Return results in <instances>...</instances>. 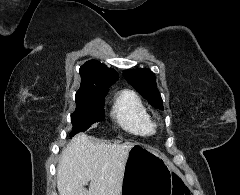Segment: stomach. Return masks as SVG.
Wrapping results in <instances>:
<instances>
[{
    "mask_svg": "<svg viewBox=\"0 0 240 195\" xmlns=\"http://www.w3.org/2000/svg\"><path fill=\"white\" fill-rule=\"evenodd\" d=\"M169 163L155 147L134 143L128 151L120 195H171Z\"/></svg>",
    "mask_w": 240,
    "mask_h": 195,
    "instance_id": "obj_1",
    "label": "stomach"
}]
</instances>
